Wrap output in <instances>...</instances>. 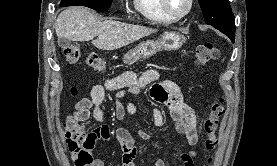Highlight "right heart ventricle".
<instances>
[{
    "label": "right heart ventricle",
    "mask_w": 277,
    "mask_h": 166,
    "mask_svg": "<svg viewBox=\"0 0 277 166\" xmlns=\"http://www.w3.org/2000/svg\"><path fill=\"white\" fill-rule=\"evenodd\" d=\"M135 9L153 23H171L173 20L161 9L159 0H134Z\"/></svg>",
    "instance_id": "obj_1"
}]
</instances>
